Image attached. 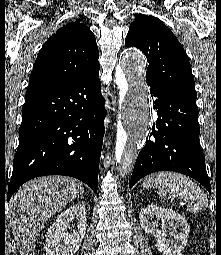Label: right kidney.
Returning <instances> with one entry per match:
<instances>
[{
	"instance_id": "1",
	"label": "right kidney",
	"mask_w": 221,
	"mask_h": 255,
	"mask_svg": "<svg viewBox=\"0 0 221 255\" xmlns=\"http://www.w3.org/2000/svg\"><path fill=\"white\" fill-rule=\"evenodd\" d=\"M70 222L76 224L73 234L68 232ZM84 204H73L57 217L46 235V255H74L81 246L87 226Z\"/></svg>"
}]
</instances>
